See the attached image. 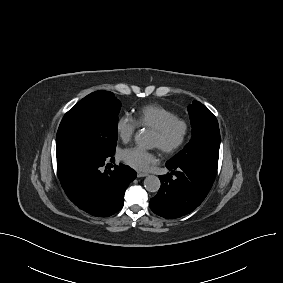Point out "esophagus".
Returning a JSON list of instances; mask_svg holds the SVG:
<instances>
[{"mask_svg":"<svg viewBox=\"0 0 283 283\" xmlns=\"http://www.w3.org/2000/svg\"><path fill=\"white\" fill-rule=\"evenodd\" d=\"M146 176H148V174L147 173H143V172H137V177H146Z\"/></svg>","mask_w":283,"mask_h":283,"instance_id":"34e87169","label":"esophagus"}]
</instances>
